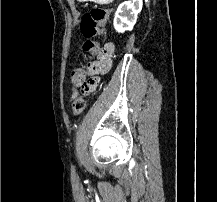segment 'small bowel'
Instances as JSON below:
<instances>
[{"label":"small bowel","instance_id":"small-bowel-1","mask_svg":"<svg viewBox=\"0 0 217 202\" xmlns=\"http://www.w3.org/2000/svg\"><path fill=\"white\" fill-rule=\"evenodd\" d=\"M113 54L114 45L111 43L105 44L97 51V60L93 63L92 69L99 74H104L110 70L113 64Z\"/></svg>","mask_w":217,"mask_h":202}]
</instances>
